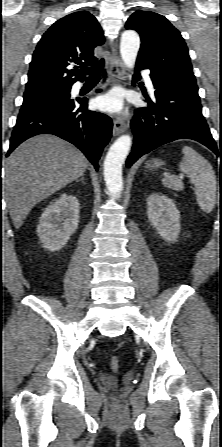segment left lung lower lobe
Here are the masks:
<instances>
[{
	"mask_svg": "<svg viewBox=\"0 0 222 447\" xmlns=\"http://www.w3.org/2000/svg\"><path fill=\"white\" fill-rule=\"evenodd\" d=\"M136 68L137 79L139 70L150 69L144 62H136ZM150 77L156 89L154 99L144 93L148 107L136 110L131 121L134 144L127 167L151 150L182 138L198 141L218 156L217 145L202 115L199 96L152 70Z\"/></svg>",
	"mask_w": 222,
	"mask_h": 447,
	"instance_id": "obj_1",
	"label": "left lung lower lobe"
}]
</instances>
